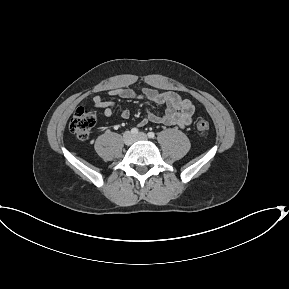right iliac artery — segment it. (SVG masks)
Listing matches in <instances>:
<instances>
[{
  "label": "right iliac artery",
  "mask_w": 289,
  "mask_h": 289,
  "mask_svg": "<svg viewBox=\"0 0 289 289\" xmlns=\"http://www.w3.org/2000/svg\"><path fill=\"white\" fill-rule=\"evenodd\" d=\"M131 133L134 134V135L138 134V129L137 128H132L131 129Z\"/></svg>",
  "instance_id": "right-iliac-artery-1"
}]
</instances>
